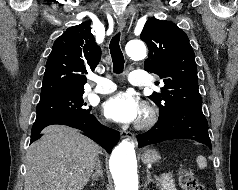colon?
Wrapping results in <instances>:
<instances>
[{
    "label": "colon",
    "instance_id": "5ec220e1",
    "mask_svg": "<svg viewBox=\"0 0 238 190\" xmlns=\"http://www.w3.org/2000/svg\"><path fill=\"white\" fill-rule=\"evenodd\" d=\"M179 184L184 190H205V187L197 180L192 171L186 168L177 170Z\"/></svg>",
    "mask_w": 238,
    "mask_h": 190
}]
</instances>
